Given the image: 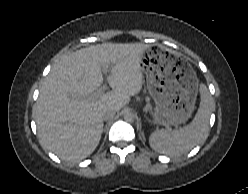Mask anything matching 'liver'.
<instances>
[{"label": "liver", "mask_w": 248, "mask_h": 194, "mask_svg": "<svg viewBox=\"0 0 248 194\" xmlns=\"http://www.w3.org/2000/svg\"><path fill=\"white\" fill-rule=\"evenodd\" d=\"M143 43H103L64 56L45 78L35 106L40 143L66 161L87 158L96 149L107 110L119 111L143 85ZM111 64L113 89L94 99L103 83L102 66Z\"/></svg>", "instance_id": "obj_1"}]
</instances>
